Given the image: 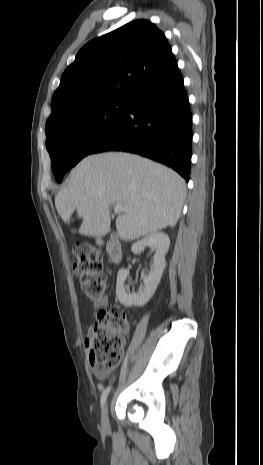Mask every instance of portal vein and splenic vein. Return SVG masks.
I'll list each match as a JSON object with an SVG mask.
<instances>
[{
	"label": "portal vein and splenic vein",
	"instance_id": "1",
	"mask_svg": "<svg viewBox=\"0 0 263 465\" xmlns=\"http://www.w3.org/2000/svg\"><path fill=\"white\" fill-rule=\"evenodd\" d=\"M124 210H125V207L121 204H116L114 206V212L120 213V212H123Z\"/></svg>",
	"mask_w": 263,
	"mask_h": 465
}]
</instances>
